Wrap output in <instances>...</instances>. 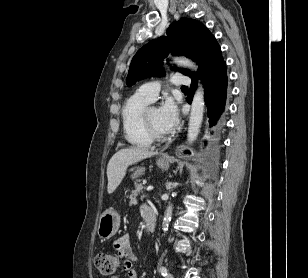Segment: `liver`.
I'll return each mask as SVG.
<instances>
[{"instance_id": "1", "label": "liver", "mask_w": 308, "mask_h": 278, "mask_svg": "<svg viewBox=\"0 0 308 278\" xmlns=\"http://www.w3.org/2000/svg\"><path fill=\"white\" fill-rule=\"evenodd\" d=\"M157 154L158 152L140 147L125 148L116 152L107 165L108 193H113L120 185L128 166Z\"/></svg>"}]
</instances>
